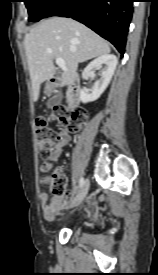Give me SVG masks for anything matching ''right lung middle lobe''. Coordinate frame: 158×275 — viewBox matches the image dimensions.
<instances>
[{"mask_svg":"<svg viewBox=\"0 0 158 275\" xmlns=\"http://www.w3.org/2000/svg\"><path fill=\"white\" fill-rule=\"evenodd\" d=\"M59 0H24L28 9L29 20L37 22L44 18L47 11Z\"/></svg>","mask_w":158,"mask_h":275,"instance_id":"right-lung-middle-lobe-1","label":"right lung middle lobe"}]
</instances>
